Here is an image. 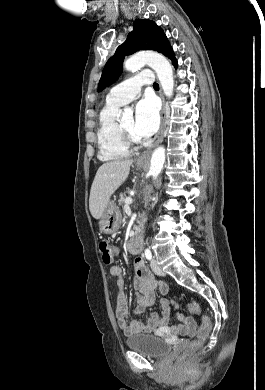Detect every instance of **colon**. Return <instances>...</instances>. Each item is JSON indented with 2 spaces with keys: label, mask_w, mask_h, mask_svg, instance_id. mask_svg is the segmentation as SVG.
Here are the masks:
<instances>
[{
  "label": "colon",
  "mask_w": 265,
  "mask_h": 390,
  "mask_svg": "<svg viewBox=\"0 0 265 390\" xmlns=\"http://www.w3.org/2000/svg\"><path fill=\"white\" fill-rule=\"evenodd\" d=\"M99 250L101 253L103 263L106 265L111 264L115 257L114 248L111 245V243L108 240H101L99 243ZM173 305L176 309L180 307L179 304L175 302H173ZM186 309L192 314H200L201 312L199 305L196 303H188L186 305ZM211 328L212 326L209 318L203 316L202 324L197 331L196 339L192 341L185 358H187L188 356H190L200 348L202 342H204L209 337L211 333Z\"/></svg>",
  "instance_id": "obj_1"
}]
</instances>
